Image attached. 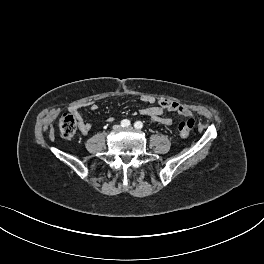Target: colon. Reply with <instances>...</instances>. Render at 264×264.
<instances>
[{
  "instance_id": "5ec220e1",
  "label": "colon",
  "mask_w": 264,
  "mask_h": 264,
  "mask_svg": "<svg viewBox=\"0 0 264 264\" xmlns=\"http://www.w3.org/2000/svg\"><path fill=\"white\" fill-rule=\"evenodd\" d=\"M195 125L193 118L180 119L178 122V133L182 138L188 137ZM78 129V119L75 113L66 112L59 120V130L63 138L73 137Z\"/></svg>"
}]
</instances>
